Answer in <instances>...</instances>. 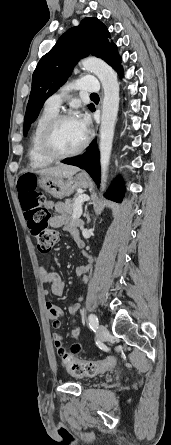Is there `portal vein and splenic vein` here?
Masks as SVG:
<instances>
[{"label":"portal vein and splenic vein","instance_id":"obj_1","mask_svg":"<svg viewBox=\"0 0 171 445\" xmlns=\"http://www.w3.org/2000/svg\"><path fill=\"white\" fill-rule=\"evenodd\" d=\"M87 200H89L88 196H81V197L78 198V200L75 203L76 206H75V209H74V212H73V215H72L73 219H78V218L81 217V215H82V202L83 201H87Z\"/></svg>","mask_w":171,"mask_h":445}]
</instances>
